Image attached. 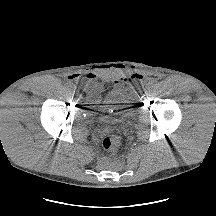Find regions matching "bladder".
I'll list each match as a JSON object with an SVG mask.
<instances>
[{"instance_id":"bladder-1","label":"bladder","mask_w":216,"mask_h":216,"mask_svg":"<svg viewBox=\"0 0 216 216\" xmlns=\"http://www.w3.org/2000/svg\"><path fill=\"white\" fill-rule=\"evenodd\" d=\"M85 101L92 105L91 113L99 121L110 118L121 119L135 111V106L130 97L120 90H113L108 86L97 88L92 95V89L84 92Z\"/></svg>"}]
</instances>
